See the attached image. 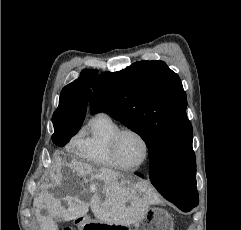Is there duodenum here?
I'll use <instances>...</instances> for the list:
<instances>
[{"mask_svg":"<svg viewBox=\"0 0 241 230\" xmlns=\"http://www.w3.org/2000/svg\"><path fill=\"white\" fill-rule=\"evenodd\" d=\"M83 221H84V219H83V218H79V219H77V221H76V222L81 224V223H83Z\"/></svg>","mask_w":241,"mask_h":230,"instance_id":"obj_1","label":"duodenum"}]
</instances>
